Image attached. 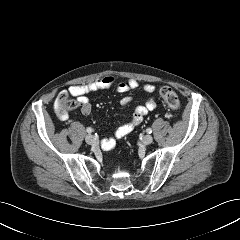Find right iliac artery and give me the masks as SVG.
Segmentation results:
<instances>
[{
  "label": "right iliac artery",
  "mask_w": 240,
  "mask_h": 240,
  "mask_svg": "<svg viewBox=\"0 0 240 240\" xmlns=\"http://www.w3.org/2000/svg\"><path fill=\"white\" fill-rule=\"evenodd\" d=\"M86 131H87L88 133H91V132L93 131V129L90 128V127H88V128L86 129Z\"/></svg>",
  "instance_id": "82829eb1"
}]
</instances>
